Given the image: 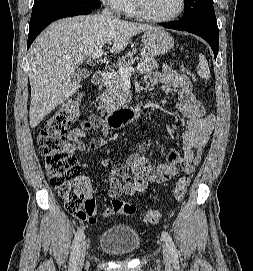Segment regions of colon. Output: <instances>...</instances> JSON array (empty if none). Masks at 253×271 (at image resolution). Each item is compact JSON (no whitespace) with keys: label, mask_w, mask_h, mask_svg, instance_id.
I'll use <instances>...</instances> for the list:
<instances>
[{"label":"colon","mask_w":253,"mask_h":271,"mask_svg":"<svg viewBox=\"0 0 253 271\" xmlns=\"http://www.w3.org/2000/svg\"><path fill=\"white\" fill-rule=\"evenodd\" d=\"M184 72L191 75L188 68ZM80 109L78 98L64 103L50 118H48L38 133L37 144L44 160L45 170L51 185L58 190L66 209L78 220L92 223L91 216L95 208V200L86 184L78 180L79 163L75 156L66 152L65 135L69 125L77 118ZM191 181V175H183L176 183L174 196L182 200ZM113 213L132 215L136 212L135 205L114 198L111 202ZM161 214L156 209H150L143 214V221L157 224Z\"/></svg>","instance_id":"obj_1"}]
</instances>
